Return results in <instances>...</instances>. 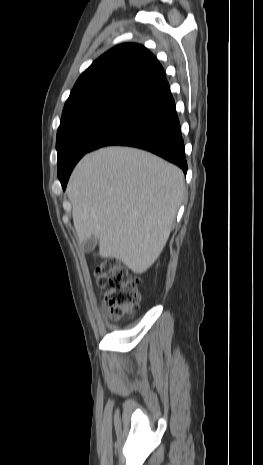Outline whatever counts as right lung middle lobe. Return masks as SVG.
I'll return each mask as SVG.
<instances>
[{
  "mask_svg": "<svg viewBox=\"0 0 263 465\" xmlns=\"http://www.w3.org/2000/svg\"><path fill=\"white\" fill-rule=\"evenodd\" d=\"M129 97H104L62 113L57 131L59 179L71 173L79 159L135 103Z\"/></svg>",
  "mask_w": 263,
  "mask_h": 465,
  "instance_id": "right-lung-middle-lobe-1",
  "label": "right lung middle lobe"
}]
</instances>
